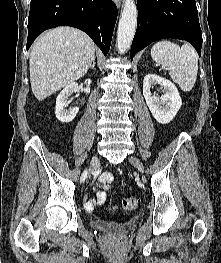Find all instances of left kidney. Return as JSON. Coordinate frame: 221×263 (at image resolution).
I'll return each mask as SVG.
<instances>
[{"mask_svg": "<svg viewBox=\"0 0 221 263\" xmlns=\"http://www.w3.org/2000/svg\"><path fill=\"white\" fill-rule=\"evenodd\" d=\"M156 84L163 88L164 95L161 97L151 93V88ZM143 95L153 117L161 124L171 122L182 105L176 86L171 81L154 74L144 77Z\"/></svg>", "mask_w": 221, "mask_h": 263, "instance_id": "left-kidney-1", "label": "left kidney"}]
</instances>
